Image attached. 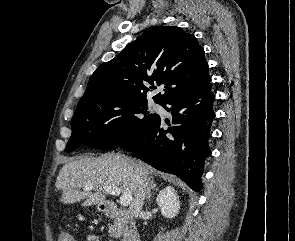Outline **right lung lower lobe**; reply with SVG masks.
Segmentation results:
<instances>
[{
  "label": "right lung lower lobe",
  "mask_w": 295,
  "mask_h": 241,
  "mask_svg": "<svg viewBox=\"0 0 295 241\" xmlns=\"http://www.w3.org/2000/svg\"><path fill=\"white\" fill-rule=\"evenodd\" d=\"M211 86L210 80L166 100L161 105L171 113L172 121L158 116L142 132L123 143L122 149L134 152L137 158L160 171L177 175L194 191H201V175L211 154L208 139L215 117ZM165 123L169 127L163 129Z\"/></svg>",
  "instance_id": "1"
}]
</instances>
